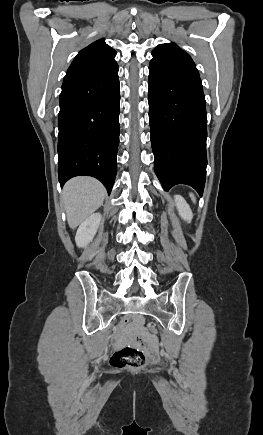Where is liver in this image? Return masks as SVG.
<instances>
[{"instance_id": "1", "label": "liver", "mask_w": 263, "mask_h": 435, "mask_svg": "<svg viewBox=\"0 0 263 435\" xmlns=\"http://www.w3.org/2000/svg\"><path fill=\"white\" fill-rule=\"evenodd\" d=\"M106 190L95 178L79 176L69 180L62 192V198L70 228H76L104 201Z\"/></svg>"}]
</instances>
